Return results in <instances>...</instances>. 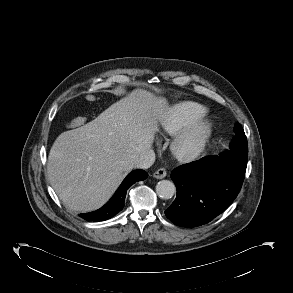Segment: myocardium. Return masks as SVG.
Returning <instances> with one entry per match:
<instances>
[{"label":"myocardium","mask_w":293,"mask_h":293,"mask_svg":"<svg viewBox=\"0 0 293 293\" xmlns=\"http://www.w3.org/2000/svg\"><path fill=\"white\" fill-rule=\"evenodd\" d=\"M213 125L203 117L180 131L171 141L170 151L180 162H191L205 149L212 134Z\"/></svg>","instance_id":"f54148a6"}]
</instances>
